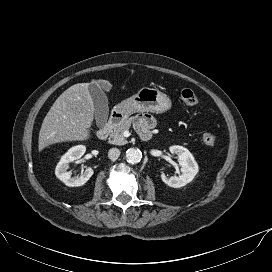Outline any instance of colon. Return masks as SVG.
Returning a JSON list of instances; mask_svg holds the SVG:
<instances>
[{"mask_svg":"<svg viewBox=\"0 0 272 272\" xmlns=\"http://www.w3.org/2000/svg\"><path fill=\"white\" fill-rule=\"evenodd\" d=\"M181 100L190 107L198 104V97L192 89L186 88L181 91ZM201 141L208 147H214L217 144V136L213 133L205 132L201 135Z\"/></svg>","mask_w":272,"mask_h":272,"instance_id":"1","label":"colon"}]
</instances>
